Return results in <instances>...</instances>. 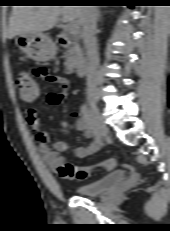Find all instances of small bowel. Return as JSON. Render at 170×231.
Returning a JSON list of instances; mask_svg holds the SVG:
<instances>
[{"label":"small bowel","instance_id":"obj_1","mask_svg":"<svg viewBox=\"0 0 170 231\" xmlns=\"http://www.w3.org/2000/svg\"><path fill=\"white\" fill-rule=\"evenodd\" d=\"M31 76L36 81L58 82L64 86V81L56 76L51 75L47 68L42 64H36L32 67ZM63 97L64 96L61 93H51L49 94V102L52 105L58 106L61 104ZM73 116L76 118V129L82 132L83 135L89 140V143L86 146H80L74 150V157L77 159H83L97 152L101 148L102 142L101 140L99 141L95 138L82 116L77 113H74ZM27 122L35 134V139L38 144V151L42 161L49 169L56 170L59 165L64 162V157L61 155V153L67 150V143L63 141H57L53 144L49 143L48 134L41 130V119L34 109L29 110Z\"/></svg>","mask_w":170,"mask_h":231}]
</instances>
